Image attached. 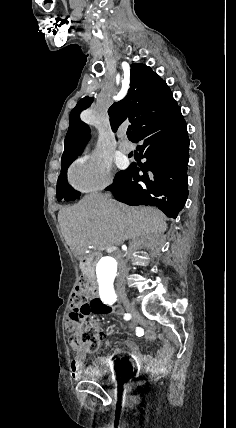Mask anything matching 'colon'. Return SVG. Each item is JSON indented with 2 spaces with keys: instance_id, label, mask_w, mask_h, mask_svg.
<instances>
[{
  "instance_id": "colon-1",
  "label": "colon",
  "mask_w": 236,
  "mask_h": 428,
  "mask_svg": "<svg viewBox=\"0 0 236 428\" xmlns=\"http://www.w3.org/2000/svg\"><path fill=\"white\" fill-rule=\"evenodd\" d=\"M71 309L65 321V328L70 333V346L86 353L95 352L100 344V336L91 315L106 313L109 308L91 293L89 282L80 279L71 294Z\"/></svg>"
}]
</instances>
